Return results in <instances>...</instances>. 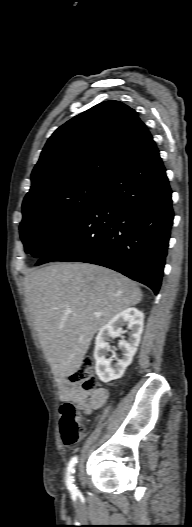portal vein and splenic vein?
<instances>
[{
	"label": "portal vein and splenic vein",
	"instance_id": "18ae733b",
	"mask_svg": "<svg viewBox=\"0 0 192 527\" xmlns=\"http://www.w3.org/2000/svg\"><path fill=\"white\" fill-rule=\"evenodd\" d=\"M68 313H71V310H67Z\"/></svg>",
	"mask_w": 192,
	"mask_h": 527
}]
</instances>
